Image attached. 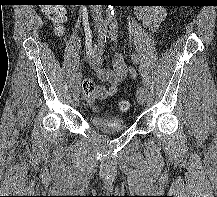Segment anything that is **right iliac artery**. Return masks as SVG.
<instances>
[{
  "label": "right iliac artery",
  "instance_id": "82829eb1",
  "mask_svg": "<svg viewBox=\"0 0 217 197\" xmlns=\"http://www.w3.org/2000/svg\"><path fill=\"white\" fill-rule=\"evenodd\" d=\"M107 38V27L106 25L102 26L99 29V35H98V41L102 44L106 42ZM80 84H81V75L77 74L74 80V85H73V95H78L80 93Z\"/></svg>",
  "mask_w": 217,
  "mask_h": 197
}]
</instances>
